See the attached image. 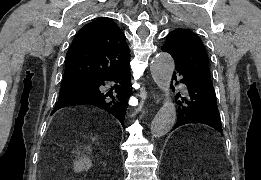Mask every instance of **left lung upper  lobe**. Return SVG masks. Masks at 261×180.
Masks as SVG:
<instances>
[{
    "label": "left lung upper lobe",
    "mask_w": 261,
    "mask_h": 180,
    "mask_svg": "<svg viewBox=\"0 0 261 180\" xmlns=\"http://www.w3.org/2000/svg\"><path fill=\"white\" fill-rule=\"evenodd\" d=\"M162 50L168 52L175 63L191 69L212 84L208 55L202 41L195 33L186 29L170 32Z\"/></svg>",
    "instance_id": "obj_1"
}]
</instances>
